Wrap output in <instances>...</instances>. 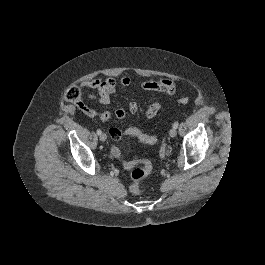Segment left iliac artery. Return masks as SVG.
<instances>
[{
	"instance_id": "obj_1",
	"label": "left iliac artery",
	"mask_w": 265,
	"mask_h": 265,
	"mask_svg": "<svg viewBox=\"0 0 265 265\" xmlns=\"http://www.w3.org/2000/svg\"><path fill=\"white\" fill-rule=\"evenodd\" d=\"M178 125H179V122L178 121H175L174 124H173V128L176 129L178 127Z\"/></svg>"
}]
</instances>
